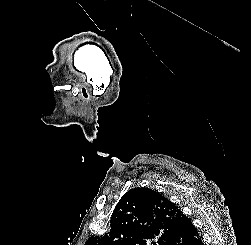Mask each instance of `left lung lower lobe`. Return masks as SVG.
<instances>
[{
    "label": "left lung lower lobe",
    "instance_id": "0a47b994",
    "mask_svg": "<svg viewBox=\"0 0 251 245\" xmlns=\"http://www.w3.org/2000/svg\"><path fill=\"white\" fill-rule=\"evenodd\" d=\"M182 218H184L185 225L171 234L165 245H204L198 230L190 219L186 215Z\"/></svg>",
    "mask_w": 251,
    "mask_h": 245
}]
</instances>
